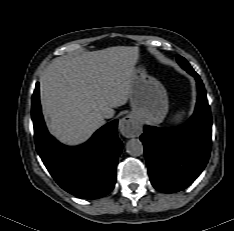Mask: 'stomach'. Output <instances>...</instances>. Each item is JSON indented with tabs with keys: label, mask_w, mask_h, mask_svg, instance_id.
Returning a JSON list of instances; mask_svg holds the SVG:
<instances>
[{
	"label": "stomach",
	"mask_w": 234,
	"mask_h": 231,
	"mask_svg": "<svg viewBox=\"0 0 234 231\" xmlns=\"http://www.w3.org/2000/svg\"><path fill=\"white\" fill-rule=\"evenodd\" d=\"M142 69H134L131 81V99L142 116L156 119L167 108V97L161 85L148 77Z\"/></svg>",
	"instance_id": "0dacf381"
}]
</instances>
